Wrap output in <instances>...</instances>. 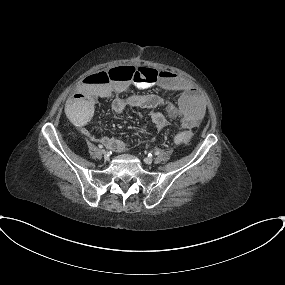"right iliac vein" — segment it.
Wrapping results in <instances>:
<instances>
[{"label": "right iliac vein", "mask_w": 285, "mask_h": 285, "mask_svg": "<svg viewBox=\"0 0 285 285\" xmlns=\"http://www.w3.org/2000/svg\"><path fill=\"white\" fill-rule=\"evenodd\" d=\"M100 152H101V154H103L104 156H107V155H108V152H107L106 150H104V149H102Z\"/></svg>", "instance_id": "obj_1"}]
</instances>
